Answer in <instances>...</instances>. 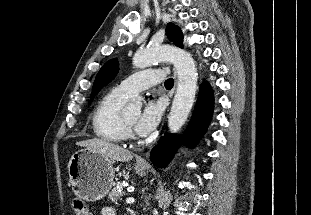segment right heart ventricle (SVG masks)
I'll return each mask as SVG.
<instances>
[{
	"mask_svg": "<svg viewBox=\"0 0 311 215\" xmlns=\"http://www.w3.org/2000/svg\"><path fill=\"white\" fill-rule=\"evenodd\" d=\"M129 97L115 87L101 98L92 116L93 131L98 138L110 143H121L126 138L128 128L122 108Z\"/></svg>",
	"mask_w": 311,
	"mask_h": 215,
	"instance_id": "1",
	"label": "right heart ventricle"
}]
</instances>
